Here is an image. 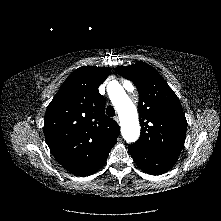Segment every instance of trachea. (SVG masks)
Masks as SVG:
<instances>
[{
	"instance_id": "1",
	"label": "trachea",
	"mask_w": 221,
	"mask_h": 221,
	"mask_svg": "<svg viewBox=\"0 0 221 221\" xmlns=\"http://www.w3.org/2000/svg\"><path fill=\"white\" fill-rule=\"evenodd\" d=\"M106 114L108 115V116H110V117H114L115 116V110H114V108H113V106H108L107 108H106Z\"/></svg>"
}]
</instances>
